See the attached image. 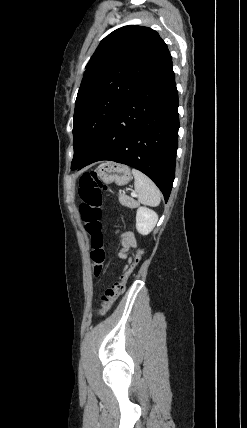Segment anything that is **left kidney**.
I'll use <instances>...</instances> for the list:
<instances>
[{"mask_svg":"<svg viewBox=\"0 0 247 428\" xmlns=\"http://www.w3.org/2000/svg\"><path fill=\"white\" fill-rule=\"evenodd\" d=\"M158 215L147 207H139L136 213V229L142 235H148L155 227Z\"/></svg>","mask_w":247,"mask_h":428,"instance_id":"obj_1","label":"left kidney"}]
</instances>
